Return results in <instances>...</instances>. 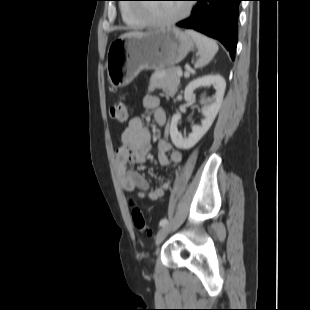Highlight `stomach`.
<instances>
[{
    "label": "stomach",
    "mask_w": 310,
    "mask_h": 310,
    "mask_svg": "<svg viewBox=\"0 0 310 310\" xmlns=\"http://www.w3.org/2000/svg\"><path fill=\"white\" fill-rule=\"evenodd\" d=\"M193 49L192 37L174 27L120 37L110 44L107 52L108 81L115 88L123 87L142 70H160L178 64Z\"/></svg>",
    "instance_id": "1"
}]
</instances>
